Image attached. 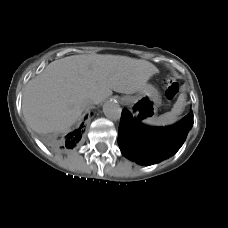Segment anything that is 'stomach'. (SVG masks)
Here are the masks:
<instances>
[{
  "mask_svg": "<svg viewBox=\"0 0 228 228\" xmlns=\"http://www.w3.org/2000/svg\"><path fill=\"white\" fill-rule=\"evenodd\" d=\"M124 101L131 105H138L136 115L145 118V121L148 122L155 117L158 107L161 105V96L154 86L146 84L134 97Z\"/></svg>",
  "mask_w": 228,
  "mask_h": 228,
  "instance_id": "stomach-1",
  "label": "stomach"
}]
</instances>
